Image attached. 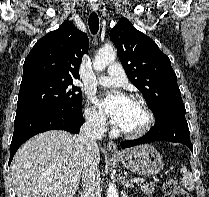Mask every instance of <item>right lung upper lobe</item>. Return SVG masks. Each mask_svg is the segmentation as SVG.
I'll use <instances>...</instances> for the list:
<instances>
[{
  "mask_svg": "<svg viewBox=\"0 0 209 197\" xmlns=\"http://www.w3.org/2000/svg\"><path fill=\"white\" fill-rule=\"evenodd\" d=\"M89 39L70 22L64 21L33 46L23 65L21 84L36 80L79 78V66L88 52Z\"/></svg>",
  "mask_w": 209,
  "mask_h": 197,
  "instance_id": "cb5924a9",
  "label": "right lung upper lobe"
}]
</instances>
